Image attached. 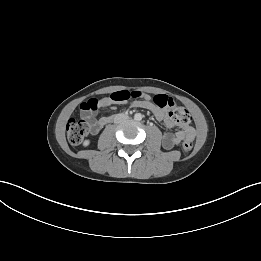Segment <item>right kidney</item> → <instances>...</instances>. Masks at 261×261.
<instances>
[{"label":"right kidney","instance_id":"ca27d5eb","mask_svg":"<svg viewBox=\"0 0 261 261\" xmlns=\"http://www.w3.org/2000/svg\"><path fill=\"white\" fill-rule=\"evenodd\" d=\"M90 144V141L89 140H85L84 142H83V145L84 146H88Z\"/></svg>","mask_w":261,"mask_h":261}]
</instances>
